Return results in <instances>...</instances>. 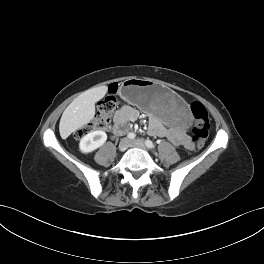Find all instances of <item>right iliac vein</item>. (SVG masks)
Masks as SVG:
<instances>
[{
  "mask_svg": "<svg viewBox=\"0 0 264 264\" xmlns=\"http://www.w3.org/2000/svg\"><path fill=\"white\" fill-rule=\"evenodd\" d=\"M128 146H129V141L128 139L124 138L120 141L118 148L120 151L123 152L128 148Z\"/></svg>",
  "mask_w": 264,
  "mask_h": 264,
  "instance_id": "63e3f726",
  "label": "right iliac vein"
}]
</instances>
